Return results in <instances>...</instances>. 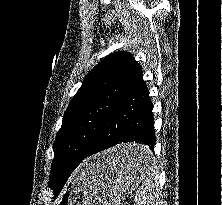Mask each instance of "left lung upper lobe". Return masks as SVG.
<instances>
[{
	"label": "left lung upper lobe",
	"mask_w": 222,
	"mask_h": 205,
	"mask_svg": "<svg viewBox=\"0 0 222 205\" xmlns=\"http://www.w3.org/2000/svg\"><path fill=\"white\" fill-rule=\"evenodd\" d=\"M139 67L131 54L119 51L107 56L86 76L69 103L56 134L49 178L53 190L66 175L59 167L62 158L68 154L82 156L88 151L108 113Z\"/></svg>",
	"instance_id": "5c2ea615"
}]
</instances>
